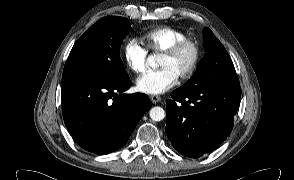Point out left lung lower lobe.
I'll return each mask as SVG.
<instances>
[{
    "mask_svg": "<svg viewBox=\"0 0 294 180\" xmlns=\"http://www.w3.org/2000/svg\"><path fill=\"white\" fill-rule=\"evenodd\" d=\"M166 102L165 132L182 155L200 157L216 149L232 131L241 87L178 88Z\"/></svg>",
    "mask_w": 294,
    "mask_h": 180,
    "instance_id": "1",
    "label": "left lung lower lobe"
}]
</instances>
